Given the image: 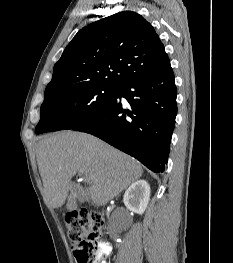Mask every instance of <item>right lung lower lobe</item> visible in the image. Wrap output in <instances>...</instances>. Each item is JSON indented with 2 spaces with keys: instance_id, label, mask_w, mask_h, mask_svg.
<instances>
[{
  "instance_id": "obj_1",
  "label": "right lung lower lobe",
  "mask_w": 233,
  "mask_h": 263,
  "mask_svg": "<svg viewBox=\"0 0 233 263\" xmlns=\"http://www.w3.org/2000/svg\"><path fill=\"white\" fill-rule=\"evenodd\" d=\"M172 68L117 87L110 104L72 128L95 135L135 157L156 173L164 171L177 114ZM124 97L126 107L119 99Z\"/></svg>"
}]
</instances>
